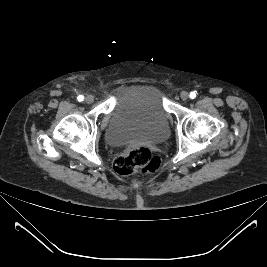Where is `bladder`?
<instances>
[{
  "label": "bladder",
  "instance_id": "obj_1",
  "mask_svg": "<svg viewBox=\"0 0 267 267\" xmlns=\"http://www.w3.org/2000/svg\"><path fill=\"white\" fill-rule=\"evenodd\" d=\"M169 134V116L162 91L153 84L134 83L123 86L105 130V140L111 145H123L143 140L160 142Z\"/></svg>",
  "mask_w": 267,
  "mask_h": 267
}]
</instances>
